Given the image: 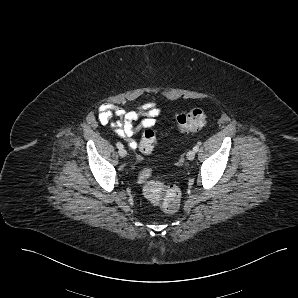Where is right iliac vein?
I'll use <instances>...</instances> for the list:
<instances>
[{
    "label": "right iliac vein",
    "mask_w": 298,
    "mask_h": 298,
    "mask_svg": "<svg viewBox=\"0 0 298 298\" xmlns=\"http://www.w3.org/2000/svg\"><path fill=\"white\" fill-rule=\"evenodd\" d=\"M118 153L121 157H125L127 155V151L124 148L119 149Z\"/></svg>",
    "instance_id": "right-iliac-vein-1"
}]
</instances>
